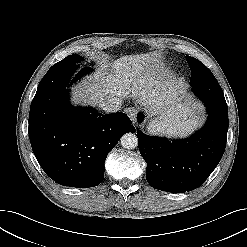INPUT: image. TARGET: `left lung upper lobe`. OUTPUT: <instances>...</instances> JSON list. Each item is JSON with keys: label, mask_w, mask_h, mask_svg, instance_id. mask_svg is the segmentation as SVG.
Here are the masks:
<instances>
[{"label": "left lung upper lobe", "mask_w": 247, "mask_h": 247, "mask_svg": "<svg viewBox=\"0 0 247 247\" xmlns=\"http://www.w3.org/2000/svg\"><path fill=\"white\" fill-rule=\"evenodd\" d=\"M186 60L190 66L192 75H195L198 73V70L203 67L204 65L197 59L190 57V56H186ZM191 75V76H192Z\"/></svg>", "instance_id": "obj_1"}]
</instances>
